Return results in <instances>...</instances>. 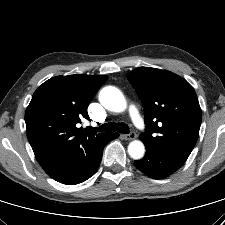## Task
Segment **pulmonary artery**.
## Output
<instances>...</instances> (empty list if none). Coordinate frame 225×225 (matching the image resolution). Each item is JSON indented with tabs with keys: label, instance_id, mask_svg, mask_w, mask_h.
Instances as JSON below:
<instances>
[{
	"label": "pulmonary artery",
	"instance_id": "e3ab8cb5",
	"mask_svg": "<svg viewBox=\"0 0 225 225\" xmlns=\"http://www.w3.org/2000/svg\"><path fill=\"white\" fill-rule=\"evenodd\" d=\"M128 110H129V114L133 118L136 126L140 129H142L144 127V123H143V120L140 116L138 109L135 106L130 105Z\"/></svg>",
	"mask_w": 225,
	"mask_h": 225
}]
</instances>
